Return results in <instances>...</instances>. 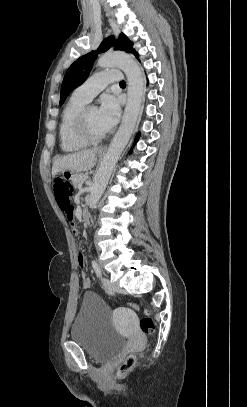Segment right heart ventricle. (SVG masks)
<instances>
[{"label": "right heart ventricle", "instance_id": "e07e8e85", "mask_svg": "<svg viewBox=\"0 0 247 407\" xmlns=\"http://www.w3.org/2000/svg\"><path fill=\"white\" fill-rule=\"evenodd\" d=\"M86 104L87 102L72 96L62 110L59 123V142L63 152H77L89 144L82 140L75 130L77 115Z\"/></svg>", "mask_w": 247, "mask_h": 407}]
</instances>
